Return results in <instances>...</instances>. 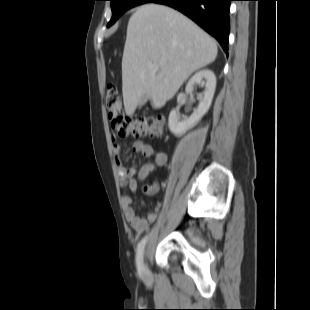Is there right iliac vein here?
Here are the masks:
<instances>
[{
	"instance_id": "obj_1",
	"label": "right iliac vein",
	"mask_w": 310,
	"mask_h": 310,
	"mask_svg": "<svg viewBox=\"0 0 310 310\" xmlns=\"http://www.w3.org/2000/svg\"><path fill=\"white\" fill-rule=\"evenodd\" d=\"M142 275L145 278H150L151 277V271H150L149 266H148V264L146 262L143 264Z\"/></svg>"
}]
</instances>
